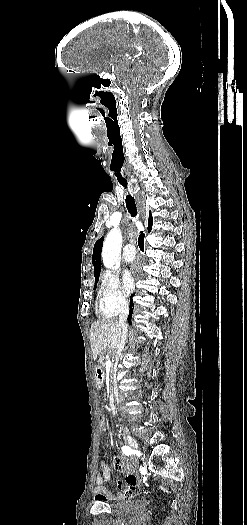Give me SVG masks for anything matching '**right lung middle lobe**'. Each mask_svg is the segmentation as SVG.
Segmentation results:
<instances>
[{"label": "right lung middle lobe", "instance_id": "1", "mask_svg": "<svg viewBox=\"0 0 247 525\" xmlns=\"http://www.w3.org/2000/svg\"><path fill=\"white\" fill-rule=\"evenodd\" d=\"M98 279H99V276H95V286H94V288L96 287V283H97Z\"/></svg>", "mask_w": 247, "mask_h": 525}]
</instances>
